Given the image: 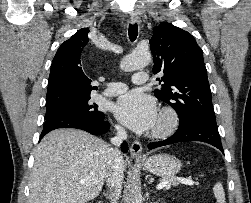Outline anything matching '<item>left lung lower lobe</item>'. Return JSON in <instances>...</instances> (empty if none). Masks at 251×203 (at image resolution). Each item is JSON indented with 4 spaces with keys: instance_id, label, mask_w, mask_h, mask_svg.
I'll use <instances>...</instances> for the list:
<instances>
[{
    "instance_id": "0a47b994",
    "label": "left lung lower lobe",
    "mask_w": 251,
    "mask_h": 203,
    "mask_svg": "<svg viewBox=\"0 0 251 203\" xmlns=\"http://www.w3.org/2000/svg\"><path fill=\"white\" fill-rule=\"evenodd\" d=\"M186 141L205 142L224 152L217 125L203 120H195L185 126H179L171 137L163 141L150 143L148 149Z\"/></svg>"
}]
</instances>
